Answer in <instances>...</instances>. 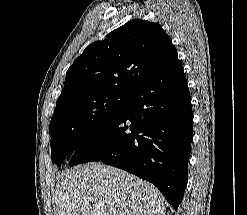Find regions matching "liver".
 Masks as SVG:
<instances>
[{
    "label": "liver",
    "mask_w": 247,
    "mask_h": 215,
    "mask_svg": "<svg viewBox=\"0 0 247 215\" xmlns=\"http://www.w3.org/2000/svg\"><path fill=\"white\" fill-rule=\"evenodd\" d=\"M53 197L55 215H165L164 198L152 184L102 163L64 172Z\"/></svg>",
    "instance_id": "1"
}]
</instances>
